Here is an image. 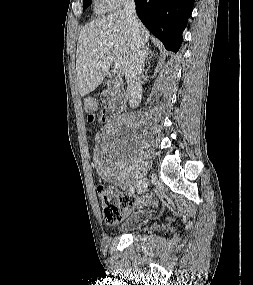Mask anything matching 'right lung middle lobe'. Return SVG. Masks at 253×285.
I'll return each instance as SVG.
<instances>
[{"mask_svg":"<svg viewBox=\"0 0 253 285\" xmlns=\"http://www.w3.org/2000/svg\"><path fill=\"white\" fill-rule=\"evenodd\" d=\"M92 0H83V5L87 8L91 4Z\"/></svg>","mask_w":253,"mask_h":285,"instance_id":"1","label":"right lung middle lobe"}]
</instances>
